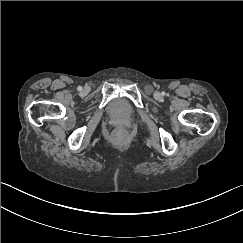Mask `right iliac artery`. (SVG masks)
Here are the masks:
<instances>
[{
	"mask_svg": "<svg viewBox=\"0 0 243 243\" xmlns=\"http://www.w3.org/2000/svg\"><path fill=\"white\" fill-rule=\"evenodd\" d=\"M77 90H78V91H81V90H82V87H81V86H78V87H77Z\"/></svg>",
	"mask_w": 243,
	"mask_h": 243,
	"instance_id": "82829eb1",
	"label": "right iliac artery"
}]
</instances>
